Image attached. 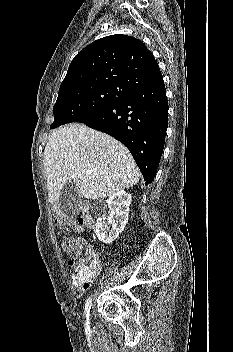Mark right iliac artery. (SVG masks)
Listing matches in <instances>:
<instances>
[{
	"instance_id": "right-iliac-artery-1",
	"label": "right iliac artery",
	"mask_w": 233,
	"mask_h": 352,
	"mask_svg": "<svg viewBox=\"0 0 233 352\" xmlns=\"http://www.w3.org/2000/svg\"><path fill=\"white\" fill-rule=\"evenodd\" d=\"M91 304H92V299L91 297H89L87 300H86V303H85V312H86V320H85V328L86 330L89 329V318H90V308H91Z\"/></svg>"
}]
</instances>
